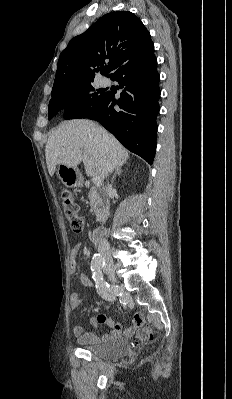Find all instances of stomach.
<instances>
[{"mask_svg":"<svg viewBox=\"0 0 232 399\" xmlns=\"http://www.w3.org/2000/svg\"><path fill=\"white\" fill-rule=\"evenodd\" d=\"M57 174L66 188H77V186H81L82 178L77 168H70V166L59 164Z\"/></svg>","mask_w":232,"mask_h":399,"instance_id":"obj_1","label":"stomach"}]
</instances>
